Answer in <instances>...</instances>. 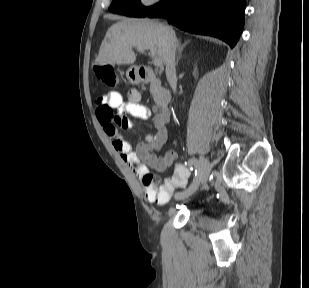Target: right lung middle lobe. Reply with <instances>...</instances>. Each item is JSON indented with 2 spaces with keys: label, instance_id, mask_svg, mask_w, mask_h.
<instances>
[{
  "label": "right lung middle lobe",
  "instance_id": "1",
  "mask_svg": "<svg viewBox=\"0 0 309 288\" xmlns=\"http://www.w3.org/2000/svg\"><path fill=\"white\" fill-rule=\"evenodd\" d=\"M165 0L152 7H144L140 0H113L109 11L131 17H145L150 11L159 7Z\"/></svg>",
  "mask_w": 309,
  "mask_h": 288
}]
</instances>
